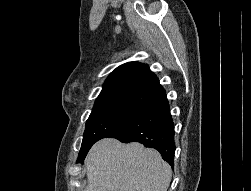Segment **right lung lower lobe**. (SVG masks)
I'll return each instance as SVG.
<instances>
[{"instance_id": "right-lung-lower-lobe-1", "label": "right lung lower lobe", "mask_w": 251, "mask_h": 191, "mask_svg": "<svg viewBox=\"0 0 251 191\" xmlns=\"http://www.w3.org/2000/svg\"><path fill=\"white\" fill-rule=\"evenodd\" d=\"M174 123L166 94L141 110L125 125L108 135L123 143L139 142L154 148L173 167Z\"/></svg>"}]
</instances>
